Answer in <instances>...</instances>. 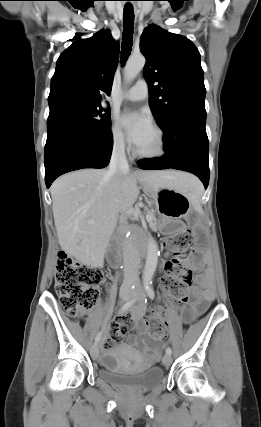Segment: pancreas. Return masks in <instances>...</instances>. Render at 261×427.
Returning a JSON list of instances; mask_svg holds the SVG:
<instances>
[{
    "label": "pancreas",
    "mask_w": 261,
    "mask_h": 427,
    "mask_svg": "<svg viewBox=\"0 0 261 427\" xmlns=\"http://www.w3.org/2000/svg\"><path fill=\"white\" fill-rule=\"evenodd\" d=\"M147 216L149 217V219H147V220H148V222H149L150 227H151L153 230H156V229H157V223H156V216H155V213H154L153 211H148V212H147Z\"/></svg>",
    "instance_id": "1"
}]
</instances>
